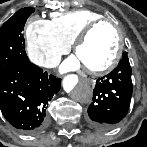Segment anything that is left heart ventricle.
<instances>
[{
  "mask_svg": "<svg viewBox=\"0 0 147 147\" xmlns=\"http://www.w3.org/2000/svg\"><path fill=\"white\" fill-rule=\"evenodd\" d=\"M117 43V33L111 26H99L79 47L76 57L85 68H100L112 59Z\"/></svg>",
  "mask_w": 147,
  "mask_h": 147,
  "instance_id": "1",
  "label": "left heart ventricle"
}]
</instances>
